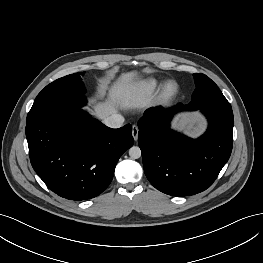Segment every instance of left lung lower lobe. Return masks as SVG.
Instances as JSON below:
<instances>
[{
  "label": "left lung lower lobe",
  "mask_w": 263,
  "mask_h": 263,
  "mask_svg": "<svg viewBox=\"0 0 263 263\" xmlns=\"http://www.w3.org/2000/svg\"><path fill=\"white\" fill-rule=\"evenodd\" d=\"M200 110L207 117V131L191 139L170 128L175 113ZM233 111L226 107L190 109L150 108L138 122V143L144 172L159 191L172 196H188L206 190L228 161L233 145Z\"/></svg>",
  "instance_id": "obj_1"
}]
</instances>
